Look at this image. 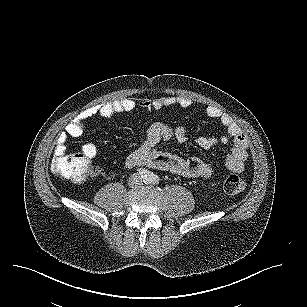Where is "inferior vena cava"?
Returning a JSON list of instances; mask_svg holds the SVG:
<instances>
[{"instance_id":"1","label":"inferior vena cava","mask_w":307,"mask_h":307,"mask_svg":"<svg viewBox=\"0 0 307 307\" xmlns=\"http://www.w3.org/2000/svg\"><path fill=\"white\" fill-rule=\"evenodd\" d=\"M140 176L138 175V174H133L132 176H130V178H129V185L131 186H133V185H135L136 184V181H137V179L139 178ZM135 178H137V179H135Z\"/></svg>"}]
</instances>
